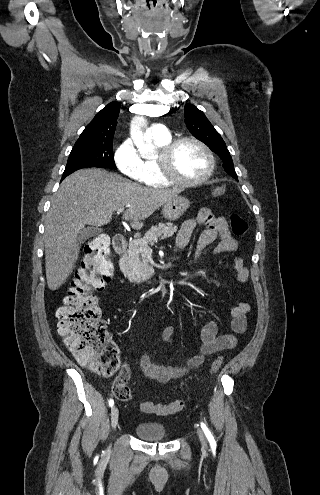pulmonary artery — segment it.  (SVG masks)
I'll return each mask as SVG.
<instances>
[{
    "label": "pulmonary artery",
    "mask_w": 320,
    "mask_h": 495,
    "mask_svg": "<svg viewBox=\"0 0 320 495\" xmlns=\"http://www.w3.org/2000/svg\"><path fill=\"white\" fill-rule=\"evenodd\" d=\"M147 134L151 137L154 138H168L170 137V133L167 129V127L163 124H153L151 125L148 130Z\"/></svg>",
    "instance_id": "e3ab8cb5"
}]
</instances>
